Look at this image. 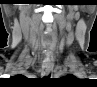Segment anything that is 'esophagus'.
<instances>
[{"label": "esophagus", "instance_id": "esophagus-1", "mask_svg": "<svg viewBox=\"0 0 97 87\" xmlns=\"http://www.w3.org/2000/svg\"><path fill=\"white\" fill-rule=\"evenodd\" d=\"M53 68H54L53 57L52 55H49L47 57V61L43 65V71H42L43 75H49L50 73H52Z\"/></svg>", "mask_w": 97, "mask_h": 87}]
</instances>
